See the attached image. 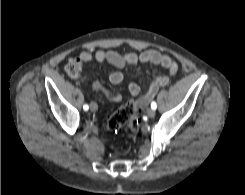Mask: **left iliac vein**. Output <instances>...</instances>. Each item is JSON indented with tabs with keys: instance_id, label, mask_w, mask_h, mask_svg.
<instances>
[{
	"instance_id": "left-iliac-vein-1",
	"label": "left iliac vein",
	"mask_w": 245,
	"mask_h": 195,
	"mask_svg": "<svg viewBox=\"0 0 245 195\" xmlns=\"http://www.w3.org/2000/svg\"><path fill=\"white\" fill-rule=\"evenodd\" d=\"M147 115L151 118H153L155 116V110H153L152 108H149L147 110Z\"/></svg>"
}]
</instances>
